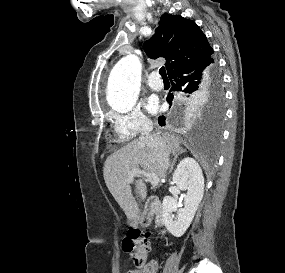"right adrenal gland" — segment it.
Masks as SVG:
<instances>
[{"label":"right adrenal gland","mask_w":285,"mask_h":273,"mask_svg":"<svg viewBox=\"0 0 285 273\" xmlns=\"http://www.w3.org/2000/svg\"><path fill=\"white\" fill-rule=\"evenodd\" d=\"M185 152H186V150L180 149V150H178L176 153H174V158H173V162H172V164H171L170 173H171L172 170H173V167H174V165H175V163H176V161H177L178 156L181 155V154H183V153H185Z\"/></svg>","instance_id":"2a0ac1e0"}]
</instances>
